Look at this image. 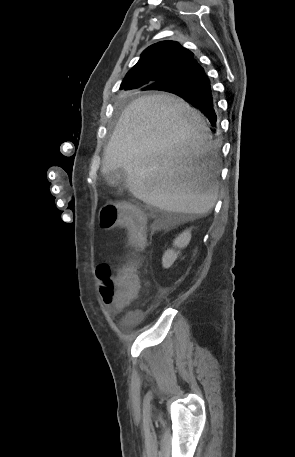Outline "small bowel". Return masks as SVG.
<instances>
[{"label": "small bowel", "mask_w": 295, "mask_h": 457, "mask_svg": "<svg viewBox=\"0 0 295 457\" xmlns=\"http://www.w3.org/2000/svg\"><path fill=\"white\" fill-rule=\"evenodd\" d=\"M142 316H143V314L140 313V312H133V313L128 314V316L126 317V321H128V322H136L140 318H142Z\"/></svg>", "instance_id": "obj_1"}]
</instances>
